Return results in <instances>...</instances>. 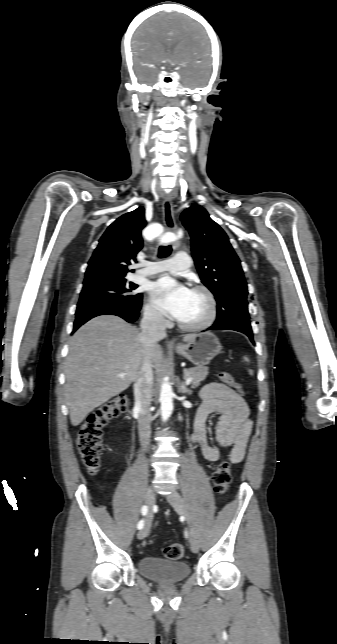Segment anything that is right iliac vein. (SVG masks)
Returning <instances> with one entry per match:
<instances>
[{"label": "right iliac vein", "mask_w": 337, "mask_h": 644, "mask_svg": "<svg viewBox=\"0 0 337 644\" xmlns=\"http://www.w3.org/2000/svg\"><path fill=\"white\" fill-rule=\"evenodd\" d=\"M145 503L146 505L151 509L155 503V495L153 493V490L149 488L145 494ZM150 524L149 522L146 523V525L138 532L137 537L138 539H143L147 536L149 532Z\"/></svg>", "instance_id": "right-iliac-vein-1"}]
</instances>
